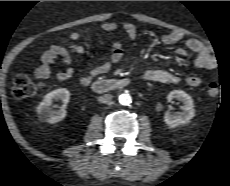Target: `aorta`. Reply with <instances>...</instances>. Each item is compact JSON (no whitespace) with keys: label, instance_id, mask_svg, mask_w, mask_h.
<instances>
[{"label":"aorta","instance_id":"aorta-1","mask_svg":"<svg viewBox=\"0 0 230 186\" xmlns=\"http://www.w3.org/2000/svg\"><path fill=\"white\" fill-rule=\"evenodd\" d=\"M119 102L121 105H129L132 102L130 94L123 93L119 96Z\"/></svg>","mask_w":230,"mask_h":186}]
</instances>
